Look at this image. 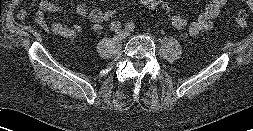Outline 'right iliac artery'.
<instances>
[{
	"label": "right iliac artery",
	"mask_w": 253,
	"mask_h": 131,
	"mask_svg": "<svg viewBox=\"0 0 253 131\" xmlns=\"http://www.w3.org/2000/svg\"><path fill=\"white\" fill-rule=\"evenodd\" d=\"M121 27V23L119 21H114L110 24L109 28L112 31H117Z\"/></svg>",
	"instance_id": "1"
}]
</instances>
